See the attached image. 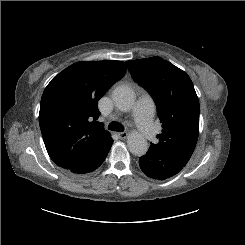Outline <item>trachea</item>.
I'll use <instances>...</instances> for the list:
<instances>
[{
	"label": "trachea",
	"mask_w": 245,
	"mask_h": 245,
	"mask_svg": "<svg viewBox=\"0 0 245 245\" xmlns=\"http://www.w3.org/2000/svg\"><path fill=\"white\" fill-rule=\"evenodd\" d=\"M108 129L112 131H118V132L124 131L123 125L115 121L109 124Z\"/></svg>",
	"instance_id": "obj_1"
}]
</instances>
